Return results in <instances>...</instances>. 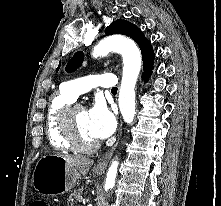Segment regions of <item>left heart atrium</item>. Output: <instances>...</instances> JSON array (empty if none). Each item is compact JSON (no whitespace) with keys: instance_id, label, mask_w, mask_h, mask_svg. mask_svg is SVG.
Segmentation results:
<instances>
[{"instance_id":"left-heart-atrium-1","label":"left heart atrium","mask_w":221,"mask_h":206,"mask_svg":"<svg viewBox=\"0 0 221 206\" xmlns=\"http://www.w3.org/2000/svg\"><path fill=\"white\" fill-rule=\"evenodd\" d=\"M88 128L95 139L109 137L116 128L114 114L101 102H97L88 112Z\"/></svg>"}]
</instances>
